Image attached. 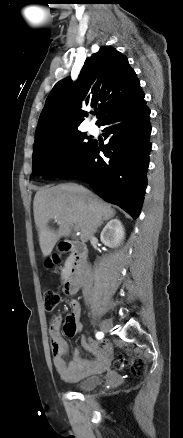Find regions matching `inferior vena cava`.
Returning <instances> with one entry per match:
<instances>
[{
    "instance_id": "inferior-vena-cava-1",
    "label": "inferior vena cava",
    "mask_w": 183,
    "mask_h": 438,
    "mask_svg": "<svg viewBox=\"0 0 183 438\" xmlns=\"http://www.w3.org/2000/svg\"><path fill=\"white\" fill-rule=\"evenodd\" d=\"M92 279L93 278H92L91 267L89 265H87L86 270H85L84 284H83V292H84L86 299H87V293L92 286Z\"/></svg>"
}]
</instances>
